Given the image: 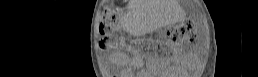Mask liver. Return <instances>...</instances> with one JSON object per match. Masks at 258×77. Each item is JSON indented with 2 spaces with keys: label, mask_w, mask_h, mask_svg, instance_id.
Returning <instances> with one entry per match:
<instances>
[{
  "label": "liver",
  "mask_w": 258,
  "mask_h": 77,
  "mask_svg": "<svg viewBox=\"0 0 258 77\" xmlns=\"http://www.w3.org/2000/svg\"><path fill=\"white\" fill-rule=\"evenodd\" d=\"M140 2L141 1H135V0L130 2L129 8L131 9V13L133 17L138 16L141 12V9L138 5Z\"/></svg>",
  "instance_id": "obj_1"
}]
</instances>
